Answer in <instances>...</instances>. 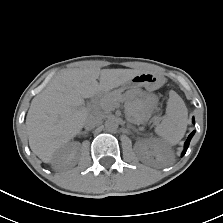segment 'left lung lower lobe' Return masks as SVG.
<instances>
[{"mask_svg":"<svg viewBox=\"0 0 223 223\" xmlns=\"http://www.w3.org/2000/svg\"><path fill=\"white\" fill-rule=\"evenodd\" d=\"M193 123H194V118H193ZM195 131H193L189 136H188V139L186 140L185 144H184V151L182 152V156L186 153L188 147H189V143H190V140L192 138V136L194 135Z\"/></svg>","mask_w":223,"mask_h":223,"instance_id":"obj_1","label":"left lung lower lobe"}]
</instances>
